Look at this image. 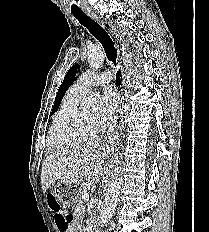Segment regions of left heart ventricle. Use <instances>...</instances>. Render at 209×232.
<instances>
[{"mask_svg": "<svg viewBox=\"0 0 209 232\" xmlns=\"http://www.w3.org/2000/svg\"><path fill=\"white\" fill-rule=\"evenodd\" d=\"M85 119L91 123H96L97 113L91 110H83Z\"/></svg>", "mask_w": 209, "mask_h": 232, "instance_id": "b2bd125f", "label": "left heart ventricle"}]
</instances>
